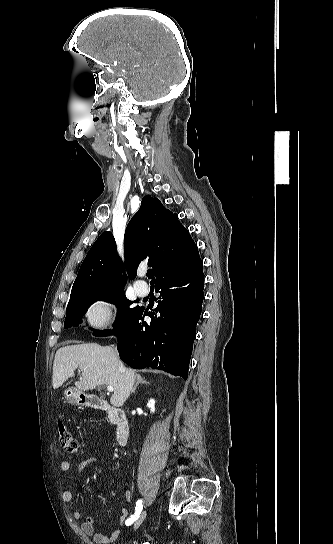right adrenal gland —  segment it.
I'll return each instance as SVG.
<instances>
[{"instance_id":"right-adrenal-gland-1","label":"right adrenal gland","mask_w":333,"mask_h":544,"mask_svg":"<svg viewBox=\"0 0 333 544\" xmlns=\"http://www.w3.org/2000/svg\"><path fill=\"white\" fill-rule=\"evenodd\" d=\"M139 384H149V382H147L146 380H144L143 378H141L140 376L137 377V382L135 383L134 387L132 388V393L135 392L136 388L138 387Z\"/></svg>"}]
</instances>
